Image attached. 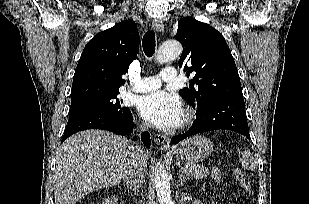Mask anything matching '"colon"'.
<instances>
[{"label":"colon","mask_w":309,"mask_h":204,"mask_svg":"<svg viewBox=\"0 0 309 204\" xmlns=\"http://www.w3.org/2000/svg\"><path fill=\"white\" fill-rule=\"evenodd\" d=\"M234 175L240 186L245 190L247 194L251 193V186L246 178L244 171L240 168H235Z\"/></svg>","instance_id":"obj_1"}]
</instances>
